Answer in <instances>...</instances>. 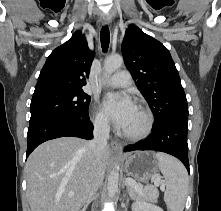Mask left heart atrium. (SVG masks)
Listing matches in <instances>:
<instances>
[{
	"instance_id": "1",
	"label": "left heart atrium",
	"mask_w": 221,
	"mask_h": 211,
	"mask_svg": "<svg viewBox=\"0 0 221 211\" xmlns=\"http://www.w3.org/2000/svg\"><path fill=\"white\" fill-rule=\"evenodd\" d=\"M102 108L114 125L123 129L135 105L126 94L109 93L103 99Z\"/></svg>"
}]
</instances>
